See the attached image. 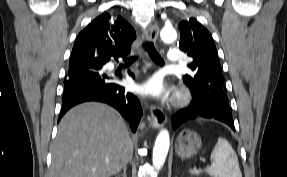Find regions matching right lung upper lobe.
I'll return each mask as SVG.
<instances>
[{"instance_id": "1", "label": "right lung upper lobe", "mask_w": 287, "mask_h": 177, "mask_svg": "<svg viewBox=\"0 0 287 177\" xmlns=\"http://www.w3.org/2000/svg\"><path fill=\"white\" fill-rule=\"evenodd\" d=\"M136 38L135 30L122 17L103 13L77 36L70 62L86 60L97 55L111 56L115 52L129 54Z\"/></svg>"}]
</instances>
